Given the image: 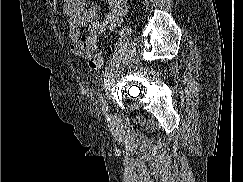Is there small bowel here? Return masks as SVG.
<instances>
[{
	"label": "small bowel",
	"mask_w": 243,
	"mask_h": 182,
	"mask_svg": "<svg viewBox=\"0 0 243 182\" xmlns=\"http://www.w3.org/2000/svg\"><path fill=\"white\" fill-rule=\"evenodd\" d=\"M109 6L104 20H99L96 6H86L83 0H65L63 13L69 26L70 48L74 55L89 58L98 41L107 31L118 27L127 12V0H105ZM88 33L83 34L82 28Z\"/></svg>",
	"instance_id": "1"
}]
</instances>
